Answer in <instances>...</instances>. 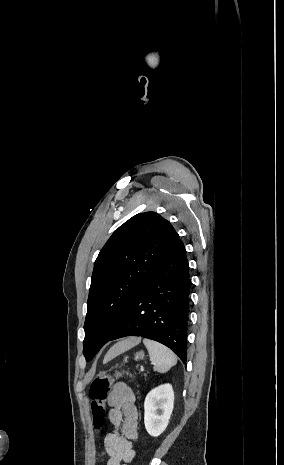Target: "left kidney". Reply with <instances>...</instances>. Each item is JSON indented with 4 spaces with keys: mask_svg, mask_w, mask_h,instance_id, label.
I'll return each mask as SVG.
<instances>
[{
    "mask_svg": "<svg viewBox=\"0 0 284 465\" xmlns=\"http://www.w3.org/2000/svg\"><path fill=\"white\" fill-rule=\"evenodd\" d=\"M174 409L172 385H160L148 393L144 401L145 429L151 437H159L165 431Z\"/></svg>",
    "mask_w": 284,
    "mask_h": 465,
    "instance_id": "left-kidney-1",
    "label": "left kidney"
}]
</instances>
